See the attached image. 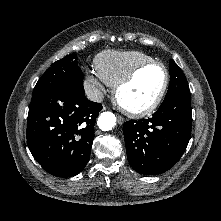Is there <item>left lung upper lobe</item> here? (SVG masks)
Masks as SVG:
<instances>
[{
	"label": "left lung upper lobe",
	"mask_w": 221,
	"mask_h": 221,
	"mask_svg": "<svg viewBox=\"0 0 221 221\" xmlns=\"http://www.w3.org/2000/svg\"><path fill=\"white\" fill-rule=\"evenodd\" d=\"M169 71L170 83L165 99H168L181 91L189 90L185 74L172 59L169 62Z\"/></svg>",
	"instance_id": "left-lung-upper-lobe-1"
}]
</instances>
